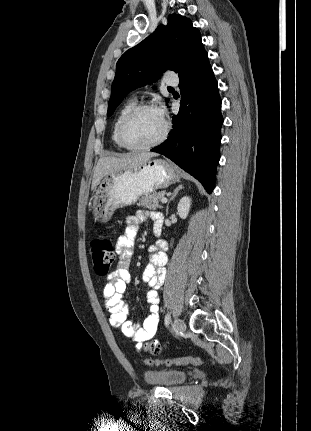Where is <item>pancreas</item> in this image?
<instances>
[{
    "instance_id": "1",
    "label": "pancreas",
    "mask_w": 311,
    "mask_h": 431,
    "mask_svg": "<svg viewBox=\"0 0 311 431\" xmlns=\"http://www.w3.org/2000/svg\"><path fill=\"white\" fill-rule=\"evenodd\" d=\"M165 194L166 192H155V194H150V196H141L136 206L145 208V210H157V208H161L159 202L164 198Z\"/></svg>"
}]
</instances>
